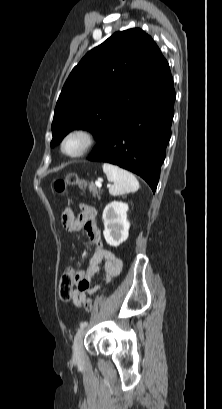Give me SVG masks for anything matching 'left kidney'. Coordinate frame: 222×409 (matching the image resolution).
I'll use <instances>...</instances> for the list:
<instances>
[{
  "instance_id": "1",
  "label": "left kidney",
  "mask_w": 222,
  "mask_h": 409,
  "mask_svg": "<svg viewBox=\"0 0 222 409\" xmlns=\"http://www.w3.org/2000/svg\"><path fill=\"white\" fill-rule=\"evenodd\" d=\"M128 205L123 202H110L103 211V235L110 246L122 244L129 234L130 223L127 220Z\"/></svg>"
}]
</instances>
